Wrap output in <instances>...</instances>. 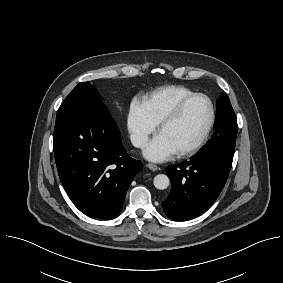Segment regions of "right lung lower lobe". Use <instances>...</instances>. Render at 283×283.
Listing matches in <instances>:
<instances>
[{"label":"right lung lower lobe","mask_w":283,"mask_h":283,"mask_svg":"<svg viewBox=\"0 0 283 283\" xmlns=\"http://www.w3.org/2000/svg\"><path fill=\"white\" fill-rule=\"evenodd\" d=\"M54 155L59 178L75 206L103 219L118 215L143 166L127 154L106 107L81 109L57 119Z\"/></svg>","instance_id":"98d812e1"}]
</instances>
